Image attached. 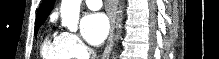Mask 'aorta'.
Wrapping results in <instances>:
<instances>
[{"label": "aorta", "mask_w": 219, "mask_h": 59, "mask_svg": "<svg viewBox=\"0 0 219 59\" xmlns=\"http://www.w3.org/2000/svg\"><path fill=\"white\" fill-rule=\"evenodd\" d=\"M80 5L81 0H62L61 2L62 25L71 32H76L78 29Z\"/></svg>", "instance_id": "aorta-1"}]
</instances>
